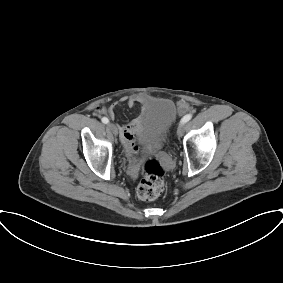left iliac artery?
<instances>
[{"label": "left iliac artery", "instance_id": "1", "mask_svg": "<svg viewBox=\"0 0 283 283\" xmlns=\"http://www.w3.org/2000/svg\"><path fill=\"white\" fill-rule=\"evenodd\" d=\"M191 118H192V115H191V114H187V115H185V116L181 119L180 123H181V124H184V123L188 122L189 120H191Z\"/></svg>", "mask_w": 283, "mask_h": 283}]
</instances>
